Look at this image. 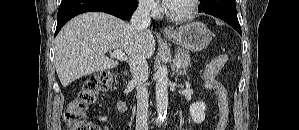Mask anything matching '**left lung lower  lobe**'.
Wrapping results in <instances>:
<instances>
[{"label":"left lung lower lobe","instance_id":"obj_1","mask_svg":"<svg viewBox=\"0 0 299 130\" xmlns=\"http://www.w3.org/2000/svg\"><path fill=\"white\" fill-rule=\"evenodd\" d=\"M199 11L224 20L242 36L234 0H202Z\"/></svg>","mask_w":299,"mask_h":130}]
</instances>
